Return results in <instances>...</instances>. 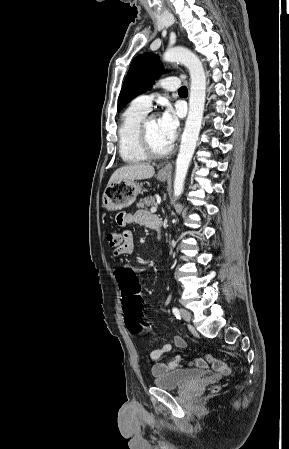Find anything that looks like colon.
<instances>
[{
    "label": "colon",
    "instance_id": "obj_1",
    "mask_svg": "<svg viewBox=\"0 0 289 449\" xmlns=\"http://www.w3.org/2000/svg\"><path fill=\"white\" fill-rule=\"evenodd\" d=\"M107 241L111 249L118 250L123 244L124 237L120 232L112 230L107 235ZM113 275L118 280L119 291L122 294L121 305L124 307L127 328L134 334H149L158 340L157 333L145 319L136 274L129 268H114Z\"/></svg>",
    "mask_w": 289,
    "mask_h": 449
}]
</instances>
